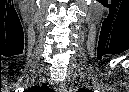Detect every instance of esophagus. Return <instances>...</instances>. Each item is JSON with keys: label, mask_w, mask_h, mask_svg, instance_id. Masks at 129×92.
I'll list each match as a JSON object with an SVG mask.
<instances>
[{"label": "esophagus", "mask_w": 129, "mask_h": 92, "mask_svg": "<svg viewBox=\"0 0 129 92\" xmlns=\"http://www.w3.org/2000/svg\"><path fill=\"white\" fill-rule=\"evenodd\" d=\"M59 92H67L66 85L64 83L59 85Z\"/></svg>", "instance_id": "obj_1"}]
</instances>
